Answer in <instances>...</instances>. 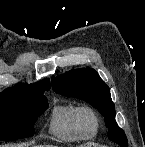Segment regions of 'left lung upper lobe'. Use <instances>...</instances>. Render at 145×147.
<instances>
[{
	"label": "left lung upper lobe",
	"instance_id": "5c2ea615",
	"mask_svg": "<svg viewBox=\"0 0 145 147\" xmlns=\"http://www.w3.org/2000/svg\"><path fill=\"white\" fill-rule=\"evenodd\" d=\"M53 90L64 96H72L87 101L105 118L110 140L127 147L124 131L115 121V108L111 100L110 89L92 68L71 70L52 78Z\"/></svg>",
	"mask_w": 145,
	"mask_h": 147
}]
</instances>
